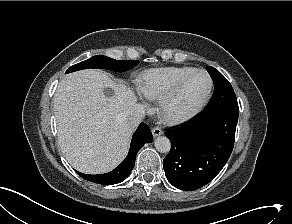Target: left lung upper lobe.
<instances>
[{
	"label": "left lung upper lobe",
	"mask_w": 292,
	"mask_h": 224,
	"mask_svg": "<svg viewBox=\"0 0 292 224\" xmlns=\"http://www.w3.org/2000/svg\"><path fill=\"white\" fill-rule=\"evenodd\" d=\"M206 69L214 82V93L206 108H211L227 101L237 100L229 81L217 69L211 66H207Z\"/></svg>",
	"instance_id": "1"
}]
</instances>
